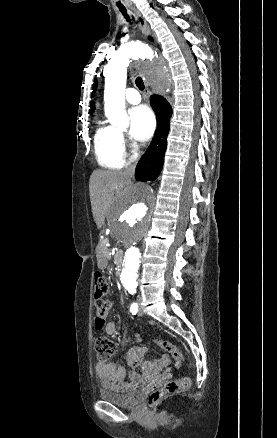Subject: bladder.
I'll return each mask as SVG.
<instances>
[{"label": "bladder", "mask_w": 277, "mask_h": 438, "mask_svg": "<svg viewBox=\"0 0 277 438\" xmlns=\"http://www.w3.org/2000/svg\"><path fill=\"white\" fill-rule=\"evenodd\" d=\"M141 390H131L127 393H119L108 388L99 389L98 396L103 402H109L120 408L132 409L135 408L141 398Z\"/></svg>", "instance_id": "bladder-1"}]
</instances>
